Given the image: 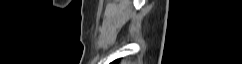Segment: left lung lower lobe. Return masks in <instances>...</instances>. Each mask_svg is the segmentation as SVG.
I'll list each match as a JSON object with an SVG mask.
<instances>
[{
	"label": "left lung lower lobe",
	"mask_w": 242,
	"mask_h": 64,
	"mask_svg": "<svg viewBox=\"0 0 242 64\" xmlns=\"http://www.w3.org/2000/svg\"><path fill=\"white\" fill-rule=\"evenodd\" d=\"M119 61V59L115 60L114 62H112L113 64H117V62Z\"/></svg>",
	"instance_id": "obj_1"
}]
</instances>
